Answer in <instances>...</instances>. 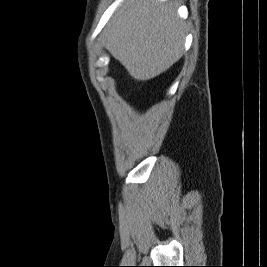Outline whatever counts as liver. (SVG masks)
I'll list each match as a JSON object with an SVG mask.
<instances>
[{"label":"liver","instance_id":"liver-1","mask_svg":"<svg viewBox=\"0 0 267 267\" xmlns=\"http://www.w3.org/2000/svg\"><path fill=\"white\" fill-rule=\"evenodd\" d=\"M184 39L175 3L126 0L109 21L102 44L134 79L146 81L182 57Z\"/></svg>","mask_w":267,"mask_h":267}]
</instances>
